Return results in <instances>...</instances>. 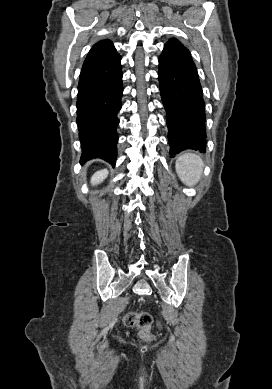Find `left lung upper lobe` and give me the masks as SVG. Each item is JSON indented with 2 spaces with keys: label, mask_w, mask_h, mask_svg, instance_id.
<instances>
[{
  "label": "left lung upper lobe",
  "mask_w": 272,
  "mask_h": 389,
  "mask_svg": "<svg viewBox=\"0 0 272 389\" xmlns=\"http://www.w3.org/2000/svg\"><path fill=\"white\" fill-rule=\"evenodd\" d=\"M165 46L171 47V48H174V49H178V50H181V51L189 52V50L186 47H184L183 44L180 43V41H178L176 39H171L170 41H168L165 44Z\"/></svg>",
  "instance_id": "obj_1"
}]
</instances>
